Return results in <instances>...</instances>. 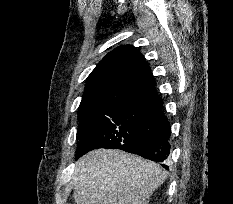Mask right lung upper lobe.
Masks as SVG:
<instances>
[{"label":"right lung upper lobe","mask_w":233,"mask_h":204,"mask_svg":"<svg viewBox=\"0 0 233 204\" xmlns=\"http://www.w3.org/2000/svg\"><path fill=\"white\" fill-rule=\"evenodd\" d=\"M158 97L154 77L144 56L132 45L108 53L87 79L79 119L109 105Z\"/></svg>","instance_id":"obj_1"}]
</instances>
